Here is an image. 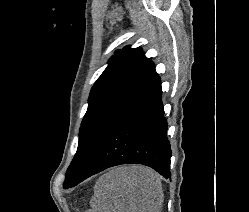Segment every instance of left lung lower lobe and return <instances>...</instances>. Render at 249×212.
Listing matches in <instances>:
<instances>
[{
  "mask_svg": "<svg viewBox=\"0 0 249 212\" xmlns=\"http://www.w3.org/2000/svg\"><path fill=\"white\" fill-rule=\"evenodd\" d=\"M161 96V81L156 75L107 133L79 178L64 188L121 164H143L170 178L171 149Z\"/></svg>",
  "mask_w": 249,
  "mask_h": 212,
  "instance_id": "left-lung-lower-lobe-1",
  "label": "left lung lower lobe"
}]
</instances>
